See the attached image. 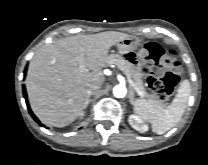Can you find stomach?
Wrapping results in <instances>:
<instances>
[{"label": "stomach", "instance_id": "1", "mask_svg": "<svg viewBox=\"0 0 208 165\" xmlns=\"http://www.w3.org/2000/svg\"><path fill=\"white\" fill-rule=\"evenodd\" d=\"M140 45V42L134 38L128 37L120 42L117 46L120 52L123 54L125 51L135 52Z\"/></svg>", "mask_w": 208, "mask_h": 165}]
</instances>
